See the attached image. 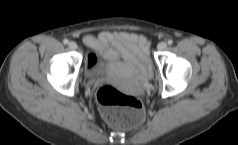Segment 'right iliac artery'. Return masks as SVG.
<instances>
[{
    "label": "right iliac artery",
    "mask_w": 238,
    "mask_h": 145,
    "mask_svg": "<svg viewBox=\"0 0 238 145\" xmlns=\"http://www.w3.org/2000/svg\"><path fill=\"white\" fill-rule=\"evenodd\" d=\"M63 43H64V44H68V43H69L68 39H64V40H63Z\"/></svg>",
    "instance_id": "right-iliac-artery-1"
}]
</instances>
